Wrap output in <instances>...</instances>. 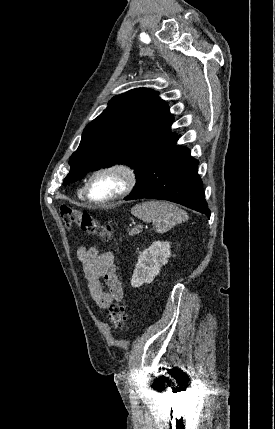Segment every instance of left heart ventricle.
Here are the masks:
<instances>
[{
  "label": "left heart ventricle",
  "instance_id": "b2bd125f",
  "mask_svg": "<svg viewBox=\"0 0 275 429\" xmlns=\"http://www.w3.org/2000/svg\"><path fill=\"white\" fill-rule=\"evenodd\" d=\"M123 181L120 175L116 173H103L95 177L91 183L90 194L94 199H105L122 187Z\"/></svg>",
  "mask_w": 275,
  "mask_h": 429
}]
</instances>
